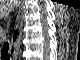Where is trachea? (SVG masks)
Here are the masks:
<instances>
[{"label":"trachea","mask_w":80,"mask_h":60,"mask_svg":"<svg viewBox=\"0 0 80 60\" xmlns=\"http://www.w3.org/2000/svg\"><path fill=\"white\" fill-rule=\"evenodd\" d=\"M8 50H9V43L6 42L4 45H3V48H2V55H5L8 57Z\"/></svg>","instance_id":"1"}]
</instances>
